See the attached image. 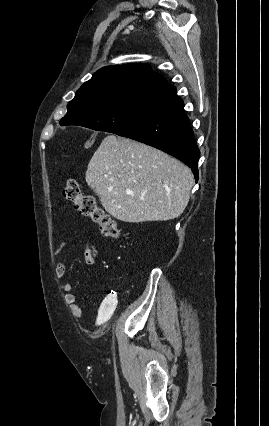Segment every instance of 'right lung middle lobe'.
Returning <instances> with one entry per match:
<instances>
[{
  "instance_id": "dd1d6c3e",
  "label": "right lung middle lobe",
  "mask_w": 269,
  "mask_h": 426,
  "mask_svg": "<svg viewBox=\"0 0 269 426\" xmlns=\"http://www.w3.org/2000/svg\"><path fill=\"white\" fill-rule=\"evenodd\" d=\"M161 92L124 90L76 93L68 104V112L60 125H79L90 129L116 133L142 119L156 104Z\"/></svg>"
}]
</instances>
